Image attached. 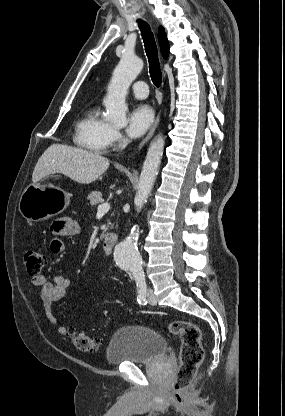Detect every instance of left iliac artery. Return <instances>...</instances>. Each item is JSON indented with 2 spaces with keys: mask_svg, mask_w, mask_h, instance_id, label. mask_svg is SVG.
<instances>
[{
  "mask_svg": "<svg viewBox=\"0 0 285 416\" xmlns=\"http://www.w3.org/2000/svg\"><path fill=\"white\" fill-rule=\"evenodd\" d=\"M134 278L136 280L137 291H138L137 301L140 305H146L147 304V300H146L147 285H146L144 274H136L134 275Z\"/></svg>",
  "mask_w": 285,
  "mask_h": 416,
  "instance_id": "1",
  "label": "left iliac artery"
}]
</instances>
